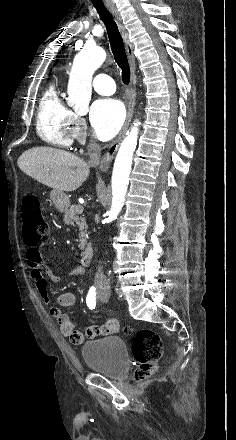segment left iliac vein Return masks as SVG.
Listing matches in <instances>:
<instances>
[{
  "instance_id": "1",
  "label": "left iliac vein",
  "mask_w": 236,
  "mask_h": 440,
  "mask_svg": "<svg viewBox=\"0 0 236 440\" xmlns=\"http://www.w3.org/2000/svg\"><path fill=\"white\" fill-rule=\"evenodd\" d=\"M108 300H109V296H106V297H102V296H100V301H101L102 303H106V302H108Z\"/></svg>"
}]
</instances>
